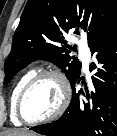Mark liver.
I'll return each instance as SVG.
<instances>
[{
  "instance_id": "liver-1",
  "label": "liver",
  "mask_w": 117,
  "mask_h": 136,
  "mask_svg": "<svg viewBox=\"0 0 117 136\" xmlns=\"http://www.w3.org/2000/svg\"><path fill=\"white\" fill-rule=\"evenodd\" d=\"M7 136H37V135L33 132H29L26 130H15V131L9 132Z\"/></svg>"
}]
</instances>
